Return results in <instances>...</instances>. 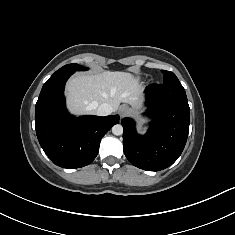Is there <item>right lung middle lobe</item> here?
Returning <instances> with one entry per match:
<instances>
[{
	"label": "right lung middle lobe",
	"instance_id": "dd1d6c3e",
	"mask_svg": "<svg viewBox=\"0 0 235 235\" xmlns=\"http://www.w3.org/2000/svg\"><path fill=\"white\" fill-rule=\"evenodd\" d=\"M87 70L88 68L86 67H81L80 65L78 64H68V65H65L63 67H61L59 70H57L55 73H60V72H68V71H76V70Z\"/></svg>",
	"mask_w": 235,
	"mask_h": 235
}]
</instances>
